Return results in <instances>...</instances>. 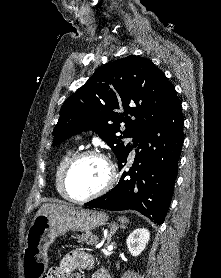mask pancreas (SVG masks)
I'll return each mask as SVG.
<instances>
[{
  "instance_id": "1",
  "label": "pancreas",
  "mask_w": 221,
  "mask_h": 278,
  "mask_svg": "<svg viewBox=\"0 0 221 278\" xmlns=\"http://www.w3.org/2000/svg\"><path fill=\"white\" fill-rule=\"evenodd\" d=\"M79 243H86L87 245L95 246L98 243V237L91 232H86L77 236Z\"/></svg>"
}]
</instances>
